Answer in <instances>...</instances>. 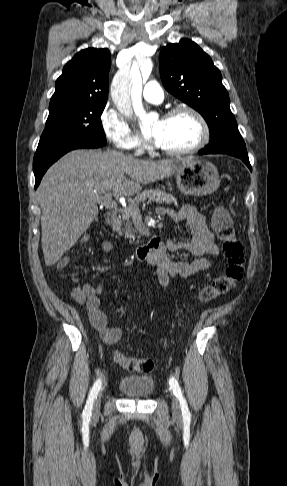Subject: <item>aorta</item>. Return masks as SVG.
I'll use <instances>...</instances> for the list:
<instances>
[{
  "instance_id": "1",
  "label": "aorta",
  "mask_w": 287,
  "mask_h": 486,
  "mask_svg": "<svg viewBox=\"0 0 287 486\" xmlns=\"http://www.w3.org/2000/svg\"><path fill=\"white\" fill-rule=\"evenodd\" d=\"M153 64L146 60L142 65L143 77L148 78ZM142 75L137 64H133L130 73L119 72L113 79L111 86L112 99L118 110L125 116L135 113L139 116L143 128L150 127L151 118L141 104Z\"/></svg>"
}]
</instances>
